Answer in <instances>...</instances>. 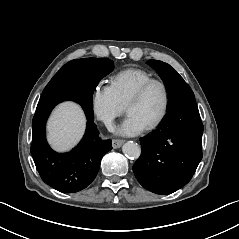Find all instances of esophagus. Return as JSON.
<instances>
[{"label":"esophagus","mask_w":239,"mask_h":239,"mask_svg":"<svg viewBox=\"0 0 239 239\" xmlns=\"http://www.w3.org/2000/svg\"><path fill=\"white\" fill-rule=\"evenodd\" d=\"M123 143H124V140L113 139V140H112V147L115 148V149H116V148H120Z\"/></svg>","instance_id":"esophagus-1"}]
</instances>
